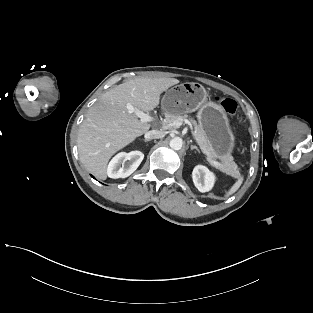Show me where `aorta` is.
Wrapping results in <instances>:
<instances>
[{"label":"aorta","instance_id":"762f6f07","mask_svg":"<svg viewBox=\"0 0 313 313\" xmlns=\"http://www.w3.org/2000/svg\"><path fill=\"white\" fill-rule=\"evenodd\" d=\"M183 145V140L180 137H174L170 140V147L174 150H180Z\"/></svg>","mask_w":313,"mask_h":313}]
</instances>
